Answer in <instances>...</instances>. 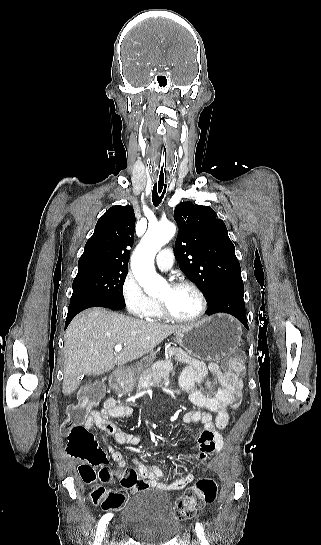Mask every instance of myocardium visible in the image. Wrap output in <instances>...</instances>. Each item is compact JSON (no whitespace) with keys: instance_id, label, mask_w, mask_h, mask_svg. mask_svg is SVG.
I'll use <instances>...</instances> for the list:
<instances>
[{"instance_id":"myocardium-1","label":"myocardium","mask_w":321,"mask_h":545,"mask_svg":"<svg viewBox=\"0 0 321 545\" xmlns=\"http://www.w3.org/2000/svg\"><path fill=\"white\" fill-rule=\"evenodd\" d=\"M173 290H179L183 288H188L193 290L199 297L200 300V308L196 315L189 318L180 317L178 315H175L171 311H169L166 307L159 304V310L163 314V316L170 321L176 322V323H182V324H192L199 322L207 313L208 310V300L204 293V291L195 283L187 280H181L175 283H172L169 285Z\"/></svg>"}]
</instances>
